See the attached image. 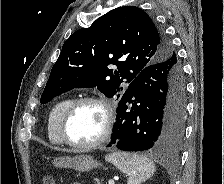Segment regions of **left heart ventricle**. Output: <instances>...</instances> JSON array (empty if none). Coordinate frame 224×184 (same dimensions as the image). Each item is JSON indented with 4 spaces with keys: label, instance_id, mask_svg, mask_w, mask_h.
<instances>
[{
    "label": "left heart ventricle",
    "instance_id": "left-heart-ventricle-1",
    "mask_svg": "<svg viewBox=\"0 0 224 184\" xmlns=\"http://www.w3.org/2000/svg\"><path fill=\"white\" fill-rule=\"evenodd\" d=\"M104 118L103 110L96 104L78 106L67 125L70 139L80 144L95 141L102 133Z\"/></svg>",
    "mask_w": 224,
    "mask_h": 184
}]
</instances>
